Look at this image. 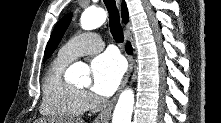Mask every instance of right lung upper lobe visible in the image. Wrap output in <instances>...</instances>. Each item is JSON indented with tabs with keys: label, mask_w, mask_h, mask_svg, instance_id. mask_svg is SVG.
I'll return each mask as SVG.
<instances>
[{
	"label": "right lung upper lobe",
	"mask_w": 221,
	"mask_h": 123,
	"mask_svg": "<svg viewBox=\"0 0 221 123\" xmlns=\"http://www.w3.org/2000/svg\"><path fill=\"white\" fill-rule=\"evenodd\" d=\"M122 19L124 21V23L128 22L129 16H128V10H127V6L125 4V2H122Z\"/></svg>",
	"instance_id": "cb5924a9"
}]
</instances>
